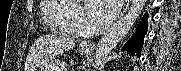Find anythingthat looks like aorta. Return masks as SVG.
<instances>
[{
    "label": "aorta",
    "instance_id": "1",
    "mask_svg": "<svg viewBox=\"0 0 181 71\" xmlns=\"http://www.w3.org/2000/svg\"><path fill=\"white\" fill-rule=\"evenodd\" d=\"M146 0H133L132 6L127 14L117 22L100 39L93 60V66L100 69L104 66L111 50L128 34L136 19L141 14Z\"/></svg>",
    "mask_w": 181,
    "mask_h": 71
}]
</instances>
